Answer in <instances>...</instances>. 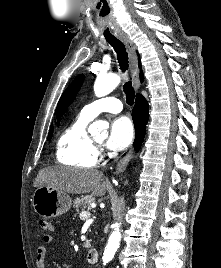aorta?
<instances>
[{"label": "aorta", "mask_w": 221, "mask_h": 268, "mask_svg": "<svg viewBox=\"0 0 221 268\" xmlns=\"http://www.w3.org/2000/svg\"><path fill=\"white\" fill-rule=\"evenodd\" d=\"M120 83V77L117 74L111 75H99L94 83V92L97 97H103L111 93ZM90 132L102 131L106 132V123L103 121H95L90 127ZM121 223L114 224V231L111 233L108 244L104 252V261H110L117 249L119 248V242L121 238L120 234Z\"/></svg>", "instance_id": "1"}]
</instances>
